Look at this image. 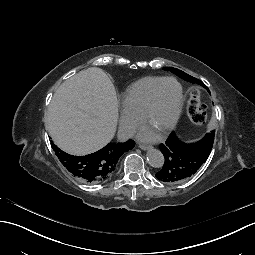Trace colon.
I'll list each match as a JSON object with an SVG mask.
<instances>
[{
    "mask_svg": "<svg viewBox=\"0 0 255 255\" xmlns=\"http://www.w3.org/2000/svg\"><path fill=\"white\" fill-rule=\"evenodd\" d=\"M187 114L191 121L197 125H202L207 120V113L201 101L200 92L196 88L189 91Z\"/></svg>",
    "mask_w": 255,
    "mask_h": 255,
    "instance_id": "1",
    "label": "colon"
}]
</instances>
